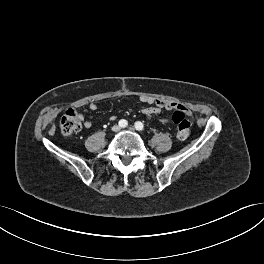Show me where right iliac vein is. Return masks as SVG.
<instances>
[{
  "instance_id": "right-iliac-vein-1",
  "label": "right iliac vein",
  "mask_w": 264,
  "mask_h": 264,
  "mask_svg": "<svg viewBox=\"0 0 264 264\" xmlns=\"http://www.w3.org/2000/svg\"><path fill=\"white\" fill-rule=\"evenodd\" d=\"M120 130V127L118 125H115L112 127L113 132H118Z\"/></svg>"
}]
</instances>
